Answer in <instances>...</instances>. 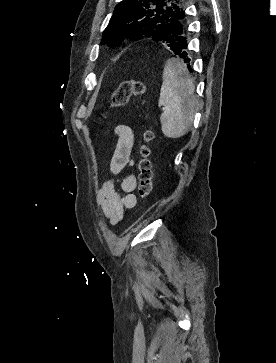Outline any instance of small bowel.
Segmentation results:
<instances>
[{
	"instance_id": "small-bowel-1",
	"label": "small bowel",
	"mask_w": 276,
	"mask_h": 363,
	"mask_svg": "<svg viewBox=\"0 0 276 363\" xmlns=\"http://www.w3.org/2000/svg\"><path fill=\"white\" fill-rule=\"evenodd\" d=\"M116 147L113 152L109 169L112 175L119 174L124 168L134 165L133 147L135 135L125 124H119L114 129ZM137 180L133 172L125 176L116 188L115 179L108 178L102 182L96 192V203L101 213L111 225H117L124 217L126 210L136 206L137 197L133 193Z\"/></svg>"
}]
</instances>
